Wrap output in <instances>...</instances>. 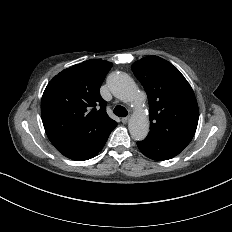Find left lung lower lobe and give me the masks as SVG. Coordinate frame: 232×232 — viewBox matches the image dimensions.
<instances>
[{"instance_id":"left-lung-lower-lobe-1","label":"left lung lower lobe","mask_w":232,"mask_h":232,"mask_svg":"<svg viewBox=\"0 0 232 232\" xmlns=\"http://www.w3.org/2000/svg\"><path fill=\"white\" fill-rule=\"evenodd\" d=\"M139 150L153 160H168L178 155L183 149L153 136L138 141Z\"/></svg>"}]
</instances>
